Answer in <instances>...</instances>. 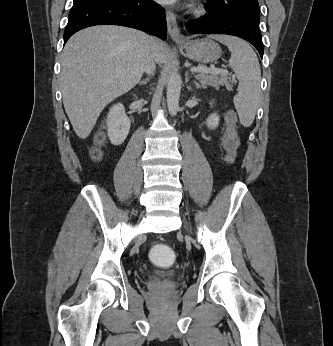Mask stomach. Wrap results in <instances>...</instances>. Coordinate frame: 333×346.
Listing matches in <instances>:
<instances>
[{
    "mask_svg": "<svg viewBox=\"0 0 333 346\" xmlns=\"http://www.w3.org/2000/svg\"><path fill=\"white\" fill-rule=\"evenodd\" d=\"M181 53L202 64L213 63L221 56L220 46L210 39L186 41L180 45Z\"/></svg>",
    "mask_w": 333,
    "mask_h": 346,
    "instance_id": "0dacf381",
    "label": "stomach"
}]
</instances>
